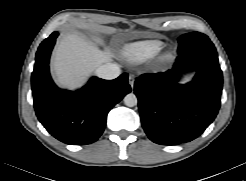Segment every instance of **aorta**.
Here are the masks:
<instances>
[{"label": "aorta", "mask_w": 246, "mask_h": 181, "mask_svg": "<svg viewBox=\"0 0 246 181\" xmlns=\"http://www.w3.org/2000/svg\"><path fill=\"white\" fill-rule=\"evenodd\" d=\"M124 104L128 107H134L137 105L138 100L134 93H129L124 97Z\"/></svg>", "instance_id": "aorta-1"}]
</instances>
